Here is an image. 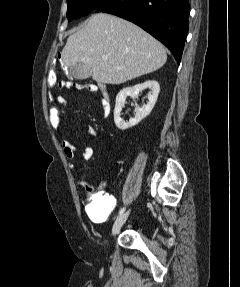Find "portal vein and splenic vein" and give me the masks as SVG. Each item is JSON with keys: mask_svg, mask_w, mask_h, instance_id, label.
I'll use <instances>...</instances> for the list:
<instances>
[{"mask_svg": "<svg viewBox=\"0 0 240 287\" xmlns=\"http://www.w3.org/2000/svg\"><path fill=\"white\" fill-rule=\"evenodd\" d=\"M102 59H103V60H107V59H108V56H107V55H103V56H102Z\"/></svg>", "mask_w": 240, "mask_h": 287, "instance_id": "18ae733b", "label": "portal vein and splenic vein"}]
</instances>
